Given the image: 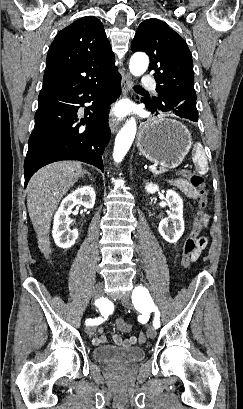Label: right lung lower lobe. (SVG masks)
Segmentation results:
<instances>
[{
    "mask_svg": "<svg viewBox=\"0 0 243 409\" xmlns=\"http://www.w3.org/2000/svg\"><path fill=\"white\" fill-rule=\"evenodd\" d=\"M120 83L114 71L95 83L39 94L24 162L25 187L38 169L60 160L86 162L104 172L102 154L111 137L108 108L121 93ZM87 102L92 105L78 122V109Z\"/></svg>",
    "mask_w": 243,
    "mask_h": 409,
    "instance_id": "right-lung-lower-lobe-1",
    "label": "right lung lower lobe"
}]
</instances>
